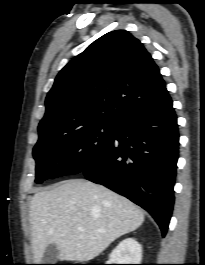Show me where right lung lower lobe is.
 I'll list each match as a JSON object with an SVG mask.
<instances>
[{
	"label": "right lung lower lobe",
	"mask_w": 205,
	"mask_h": 265,
	"mask_svg": "<svg viewBox=\"0 0 205 265\" xmlns=\"http://www.w3.org/2000/svg\"><path fill=\"white\" fill-rule=\"evenodd\" d=\"M177 117L167 90L117 122L113 139L80 173L147 210L165 236L174 203Z\"/></svg>",
	"instance_id": "98d812e1"
}]
</instances>
